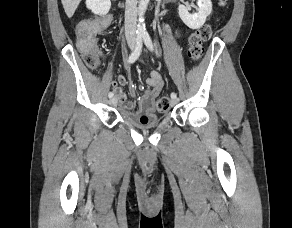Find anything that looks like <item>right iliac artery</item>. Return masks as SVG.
Masks as SVG:
<instances>
[{
	"mask_svg": "<svg viewBox=\"0 0 292 228\" xmlns=\"http://www.w3.org/2000/svg\"><path fill=\"white\" fill-rule=\"evenodd\" d=\"M141 51H142V35H138L137 36V39H136V46H135V49L134 51L130 54L127 62L129 64L131 63H134L140 56L141 54ZM113 92H109L108 96L109 98H112L113 97Z\"/></svg>",
	"mask_w": 292,
	"mask_h": 228,
	"instance_id": "right-iliac-artery-1",
	"label": "right iliac artery"
}]
</instances>
